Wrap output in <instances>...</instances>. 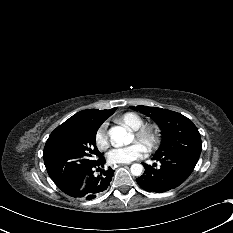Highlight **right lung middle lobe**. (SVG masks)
Instances as JSON below:
<instances>
[{"mask_svg": "<svg viewBox=\"0 0 233 233\" xmlns=\"http://www.w3.org/2000/svg\"><path fill=\"white\" fill-rule=\"evenodd\" d=\"M115 110L113 108L106 117L51 133L45 144L43 157L47 172L56 185L73 178L79 171L103 158L96 147V133Z\"/></svg>", "mask_w": 233, "mask_h": 233, "instance_id": "obj_1", "label": "right lung middle lobe"}]
</instances>
